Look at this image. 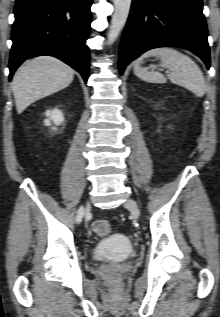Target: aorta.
Returning <instances> with one entry per match:
<instances>
[{
  "label": "aorta",
  "instance_id": "1",
  "mask_svg": "<svg viewBox=\"0 0 220 317\" xmlns=\"http://www.w3.org/2000/svg\"><path fill=\"white\" fill-rule=\"evenodd\" d=\"M114 13L107 34L108 44H112L119 36L127 21L132 0H113Z\"/></svg>",
  "mask_w": 220,
  "mask_h": 317
}]
</instances>
